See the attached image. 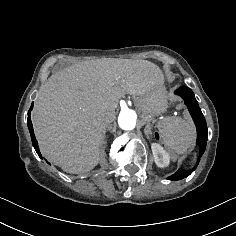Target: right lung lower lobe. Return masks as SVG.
<instances>
[{
	"label": "right lung lower lobe",
	"instance_id": "98d812e1",
	"mask_svg": "<svg viewBox=\"0 0 236 236\" xmlns=\"http://www.w3.org/2000/svg\"><path fill=\"white\" fill-rule=\"evenodd\" d=\"M32 108H33V103H32V105H31V107H30L29 112H28V121H27V123H28V128H29V132H30V135H31V139H32V144H33V146H34L36 152H37V153L39 154V156L41 157L40 151H39V147H38V142H37V140L35 139L34 131H33V127H32V122H31V119H30V112H31Z\"/></svg>",
	"mask_w": 236,
	"mask_h": 236
}]
</instances>
